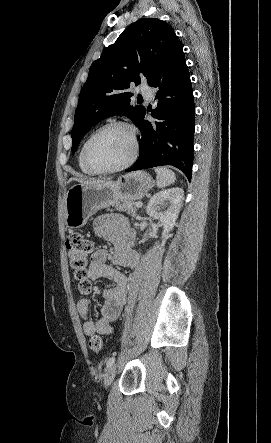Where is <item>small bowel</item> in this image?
I'll use <instances>...</instances> for the list:
<instances>
[{"label": "small bowel", "mask_w": 271, "mask_h": 443, "mask_svg": "<svg viewBox=\"0 0 271 443\" xmlns=\"http://www.w3.org/2000/svg\"><path fill=\"white\" fill-rule=\"evenodd\" d=\"M93 230L98 238L107 240L114 246L112 261L121 267H134L139 261L138 253L133 249L134 232L128 223L118 215H103L98 217L93 225ZM108 251L104 248L97 249L89 266V277L92 280L109 278L114 286L102 291L105 298L101 316L93 321L89 319L90 300L82 298L77 303V310L84 320L83 331L87 336L95 334L111 335L113 324L118 319L126 302L129 279L127 275L117 271L106 264Z\"/></svg>", "instance_id": "1"}]
</instances>
